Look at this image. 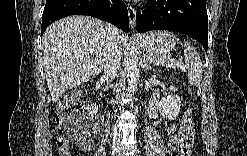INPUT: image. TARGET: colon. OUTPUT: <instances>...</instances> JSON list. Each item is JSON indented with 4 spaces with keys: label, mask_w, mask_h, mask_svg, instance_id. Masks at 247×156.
I'll return each mask as SVG.
<instances>
[{
    "label": "colon",
    "mask_w": 247,
    "mask_h": 156,
    "mask_svg": "<svg viewBox=\"0 0 247 156\" xmlns=\"http://www.w3.org/2000/svg\"><path fill=\"white\" fill-rule=\"evenodd\" d=\"M81 94H82V90H74L68 93L58 103L54 111V121L58 130L56 136V149L58 154L61 156L70 155V144L65 135V127L69 122L66 111L70 107V105L75 103L80 98ZM192 119H193V109L188 108L185 112L181 128L185 129L190 124H192ZM178 155H187V153L180 151L178 152Z\"/></svg>",
    "instance_id": "colon-1"
}]
</instances>
